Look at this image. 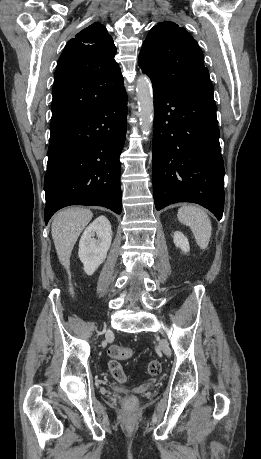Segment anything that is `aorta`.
Instances as JSON below:
<instances>
[{
  "label": "aorta",
  "instance_id": "762f6f07",
  "mask_svg": "<svg viewBox=\"0 0 261 459\" xmlns=\"http://www.w3.org/2000/svg\"><path fill=\"white\" fill-rule=\"evenodd\" d=\"M136 96L138 101L139 124L143 135L147 136L153 126L154 102L150 79L140 76L136 82Z\"/></svg>",
  "mask_w": 261,
  "mask_h": 459
}]
</instances>
